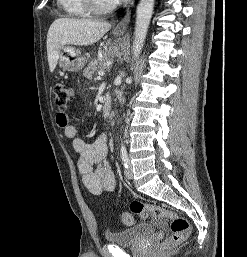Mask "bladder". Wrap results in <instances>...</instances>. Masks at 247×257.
<instances>
[{"mask_svg": "<svg viewBox=\"0 0 247 257\" xmlns=\"http://www.w3.org/2000/svg\"><path fill=\"white\" fill-rule=\"evenodd\" d=\"M155 232L154 226L140 223L131 228L119 231H107L105 238L109 243L119 246H133L142 242Z\"/></svg>", "mask_w": 247, "mask_h": 257, "instance_id": "bladder-1", "label": "bladder"}]
</instances>
